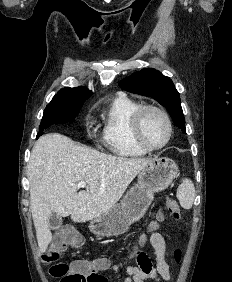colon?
I'll return each mask as SVG.
<instances>
[{
    "instance_id": "5ec220e1",
    "label": "colon",
    "mask_w": 232,
    "mask_h": 282,
    "mask_svg": "<svg viewBox=\"0 0 232 282\" xmlns=\"http://www.w3.org/2000/svg\"><path fill=\"white\" fill-rule=\"evenodd\" d=\"M166 207L175 219L181 218L180 207L174 199L168 198ZM83 242V238L75 232L61 231L59 233L53 246L44 255L45 263L51 265L49 272L52 277L58 279L59 282H90L92 279L100 276V271L103 270L101 265L106 262L104 260H97L91 263L84 259H78L69 264L58 263L63 250L80 247ZM140 253L138 250H133L128 253V256L137 260ZM174 258L176 262L181 260V251L179 249L174 251Z\"/></svg>"
}]
</instances>
